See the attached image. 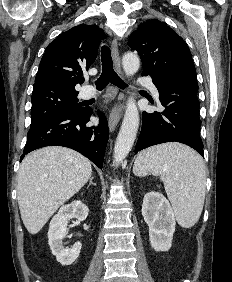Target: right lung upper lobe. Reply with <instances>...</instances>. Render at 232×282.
Listing matches in <instances>:
<instances>
[{
	"instance_id": "cb5924a9",
	"label": "right lung upper lobe",
	"mask_w": 232,
	"mask_h": 282,
	"mask_svg": "<svg viewBox=\"0 0 232 282\" xmlns=\"http://www.w3.org/2000/svg\"><path fill=\"white\" fill-rule=\"evenodd\" d=\"M103 36L97 25H78L60 34L45 50L33 92L50 89L76 91V84L83 82V71L88 70L96 59Z\"/></svg>"
}]
</instances>
